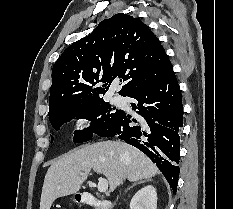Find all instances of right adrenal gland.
<instances>
[{
  "instance_id": "1",
  "label": "right adrenal gland",
  "mask_w": 233,
  "mask_h": 209,
  "mask_svg": "<svg viewBox=\"0 0 233 209\" xmlns=\"http://www.w3.org/2000/svg\"><path fill=\"white\" fill-rule=\"evenodd\" d=\"M151 180H152V179L149 178V179H146V180L139 181V182L133 184L131 187L127 188L126 192H128L131 188H133V187L136 186L137 184H141V183H144V182H146V181H151Z\"/></svg>"
}]
</instances>
